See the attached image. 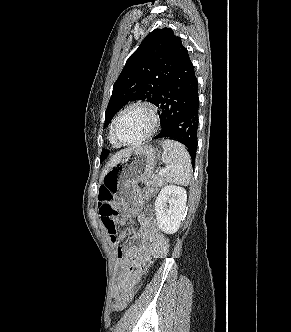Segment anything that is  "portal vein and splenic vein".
Wrapping results in <instances>:
<instances>
[{"label": "portal vein and splenic vein", "mask_w": 291, "mask_h": 332, "mask_svg": "<svg viewBox=\"0 0 291 332\" xmlns=\"http://www.w3.org/2000/svg\"><path fill=\"white\" fill-rule=\"evenodd\" d=\"M168 168H161L159 171V175H164L167 172Z\"/></svg>", "instance_id": "obj_1"}]
</instances>
